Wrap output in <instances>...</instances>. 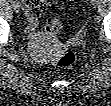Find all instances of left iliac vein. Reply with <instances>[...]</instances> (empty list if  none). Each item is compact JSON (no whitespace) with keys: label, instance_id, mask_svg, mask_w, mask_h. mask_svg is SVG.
Instances as JSON below:
<instances>
[{"label":"left iliac vein","instance_id":"left-iliac-vein-1","mask_svg":"<svg viewBox=\"0 0 111 106\" xmlns=\"http://www.w3.org/2000/svg\"><path fill=\"white\" fill-rule=\"evenodd\" d=\"M97 0H91V3L93 4V5H95V4H97Z\"/></svg>","mask_w":111,"mask_h":106}]
</instances>
